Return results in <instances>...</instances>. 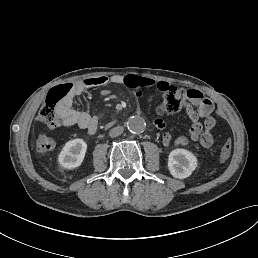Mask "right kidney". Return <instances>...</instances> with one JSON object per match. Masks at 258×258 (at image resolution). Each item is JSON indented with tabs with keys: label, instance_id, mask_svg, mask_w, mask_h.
Here are the masks:
<instances>
[{
	"label": "right kidney",
	"instance_id": "ca27d5eb",
	"mask_svg": "<svg viewBox=\"0 0 258 258\" xmlns=\"http://www.w3.org/2000/svg\"><path fill=\"white\" fill-rule=\"evenodd\" d=\"M87 144L82 139L68 141L59 154L58 162L67 169H73L81 165Z\"/></svg>",
	"mask_w": 258,
	"mask_h": 258
}]
</instances>
